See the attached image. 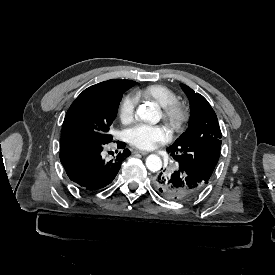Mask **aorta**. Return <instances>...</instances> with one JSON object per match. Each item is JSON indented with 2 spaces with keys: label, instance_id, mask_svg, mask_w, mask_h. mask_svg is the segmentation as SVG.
Here are the masks:
<instances>
[{
  "label": "aorta",
  "instance_id": "aorta-1",
  "mask_svg": "<svg viewBox=\"0 0 275 275\" xmlns=\"http://www.w3.org/2000/svg\"><path fill=\"white\" fill-rule=\"evenodd\" d=\"M137 116L145 121L150 122L152 124H156L161 119V110L158 105H154L153 103H144L141 104L137 111ZM146 167L151 172H157L162 168V161L160 157L156 154H151L146 158Z\"/></svg>",
  "mask_w": 275,
  "mask_h": 275
}]
</instances>
